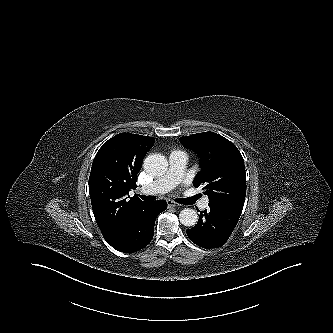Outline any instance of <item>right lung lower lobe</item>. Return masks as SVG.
<instances>
[{
  "mask_svg": "<svg viewBox=\"0 0 333 333\" xmlns=\"http://www.w3.org/2000/svg\"><path fill=\"white\" fill-rule=\"evenodd\" d=\"M166 208L167 203L161 200L148 202L137 209L125 223L120 236L110 245L125 253L141 250L152 240L156 217Z\"/></svg>",
  "mask_w": 333,
  "mask_h": 333,
  "instance_id": "98d812e1",
  "label": "right lung lower lobe"
}]
</instances>
